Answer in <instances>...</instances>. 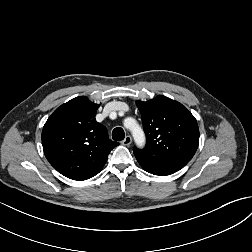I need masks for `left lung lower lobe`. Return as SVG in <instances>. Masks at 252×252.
I'll use <instances>...</instances> for the list:
<instances>
[{"label": "left lung lower lobe", "mask_w": 252, "mask_h": 252, "mask_svg": "<svg viewBox=\"0 0 252 252\" xmlns=\"http://www.w3.org/2000/svg\"><path fill=\"white\" fill-rule=\"evenodd\" d=\"M141 167L154 175L166 176L183 168L190 160L179 157L136 158Z\"/></svg>", "instance_id": "1"}]
</instances>
